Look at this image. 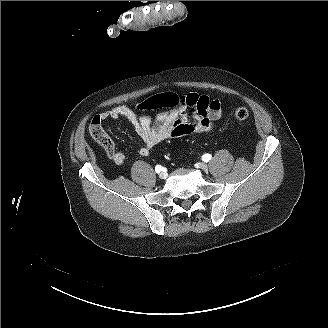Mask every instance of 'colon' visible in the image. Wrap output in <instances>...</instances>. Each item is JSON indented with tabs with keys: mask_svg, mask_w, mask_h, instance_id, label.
I'll use <instances>...</instances> for the list:
<instances>
[{
	"mask_svg": "<svg viewBox=\"0 0 328 328\" xmlns=\"http://www.w3.org/2000/svg\"><path fill=\"white\" fill-rule=\"evenodd\" d=\"M180 103V97L174 93H161L149 97L137 104L140 110H152L164 107H176ZM234 117L239 121H244L249 117V111L245 107H238L234 111ZM89 132L93 140L106 152L114 148L113 141L105 132L102 126V119L99 115L95 116L90 123Z\"/></svg>",
	"mask_w": 328,
	"mask_h": 328,
	"instance_id": "colon-1",
	"label": "colon"
}]
</instances>
